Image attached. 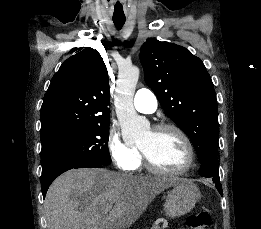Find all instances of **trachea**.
<instances>
[{"label": "trachea", "mask_w": 261, "mask_h": 229, "mask_svg": "<svg viewBox=\"0 0 261 229\" xmlns=\"http://www.w3.org/2000/svg\"><path fill=\"white\" fill-rule=\"evenodd\" d=\"M126 21V17H113V22L117 30H120Z\"/></svg>", "instance_id": "1"}]
</instances>
